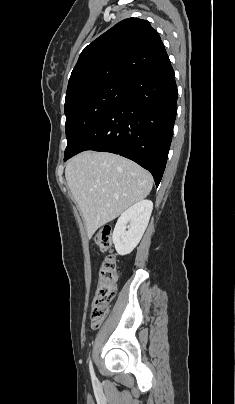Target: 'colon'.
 Listing matches in <instances>:
<instances>
[{
  "mask_svg": "<svg viewBox=\"0 0 235 404\" xmlns=\"http://www.w3.org/2000/svg\"><path fill=\"white\" fill-rule=\"evenodd\" d=\"M94 243L102 251L108 253L101 264L98 287L91 307V325L98 328L106 319L110 305L115 298L119 273L113 254L111 228L105 226L99 230L94 237Z\"/></svg>",
  "mask_w": 235,
  "mask_h": 404,
  "instance_id": "colon-1",
  "label": "colon"
}]
</instances>
